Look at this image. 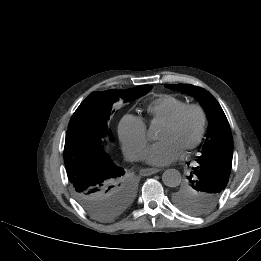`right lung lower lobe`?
Wrapping results in <instances>:
<instances>
[{
	"instance_id": "obj_1",
	"label": "right lung lower lobe",
	"mask_w": 261,
	"mask_h": 261,
	"mask_svg": "<svg viewBox=\"0 0 261 261\" xmlns=\"http://www.w3.org/2000/svg\"><path fill=\"white\" fill-rule=\"evenodd\" d=\"M101 135L86 127L67 130L64 163L68 179L76 189L98 184L125 171L101 151Z\"/></svg>"
}]
</instances>
